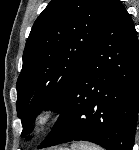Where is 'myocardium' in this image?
<instances>
[{
  "instance_id": "1",
  "label": "myocardium",
  "mask_w": 139,
  "mask_h": 150,
  "mask_svg": "<svg viewBox=\"0 0 139 150\" xmlns=\"http://www.w3.org/2000/svg\"><path fill=\"white\" fill-rule=\"evenodd\" d=\"M59 115L55 107L47 106L41 109L35 116L33 125L37 130L47 128Z\"/></svg>"
}]
</instances>
